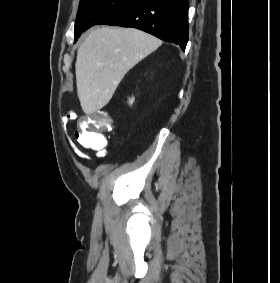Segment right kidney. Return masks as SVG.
Segmentation results:
<instances>
[{
    "label": "right kidney",
    "instance_id": "1",
    "mask_svg": "<svg viewBox=\"0 0 280 283\" xmlns=\"http://www.w3.org/2000/svg\"><path fill=\"white\" fill-rule=\"evenodd\" d=\"M133 101H134V98H132V99L130 100V104H132V103H133Z\"/></svg>",
    "mask_w": 280,
    "mask_h": 283
}]
</instances>
